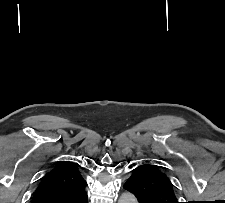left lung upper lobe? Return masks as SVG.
<instances>
[{
  "mask_svg": "<svg viewBox=\"0 0 225 203\" xmlns=\"http://www.w3.org/2000/svg\"><path fill=\"white\" fill-rule=\"evenodd\" d=\"M127 182L143 203H178L173 184L155 165L137 166Z\"/></svg>",
  "mask_w": 225,
  "mask_h": 203,
  "instance_id": "1",
  "label": "left lung upper lobe"
}]
</instances>
